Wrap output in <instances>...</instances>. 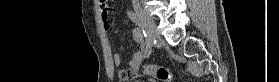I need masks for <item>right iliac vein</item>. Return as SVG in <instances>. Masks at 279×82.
Returning <instances> with one entry per match:
<instances>
[{
    "mask_svg": "<svg viewBox=\"0 0 279 82\" xmlns=\"http://www.w3.org/2000/svg\"><path fill=\"white\" fill-rule=\"evenodd\" d=\"M134 11L141 17L143 20V23L145 25V29L147 31L149 41L152 43L153 40H155L158 37V33L156 30L155 23L153 19L148 16V14L139 6L136 4L133 5Z\"/></svg>",
    "mask_w": 279,
    "mask_h": 82,
    "instance_id": "obj_1",
    "label": "right iliac vein"
}]
</instances>
